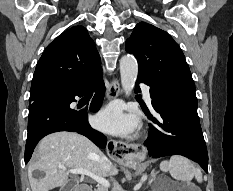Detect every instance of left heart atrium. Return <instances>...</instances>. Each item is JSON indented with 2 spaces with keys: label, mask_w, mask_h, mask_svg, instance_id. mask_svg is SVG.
I'll use <instances>...</instances> for the list:
<instances>
[{
  "label": "left heart atrium",
  "mask_w": 233,
  "mask_h": 191,
  "mask_svg": "<svg viewBox=\"0 0 233 191\" xmlns=\"http://www.w3.org/2000/svg\"><path fill=\"white\" fill-rule=\"evenodd\" d=\"M96 128L113 135L126 136L135 131L138 120L125 114L120 105H111L99 112L93 119Z\"/></svg>",
  "instance_id": "39dd6f15"
}]
</instances>
